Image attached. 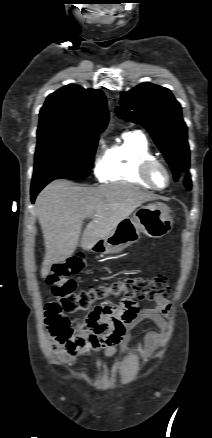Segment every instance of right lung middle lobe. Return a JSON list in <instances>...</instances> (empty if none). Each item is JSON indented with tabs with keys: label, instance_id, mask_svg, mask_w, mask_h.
Returning a JSON list of instances; mask_svg holds the SVG:
<instances>
[{
	"label": "right lung middle lobe",
	"instance_id": "right-lung-middle-lobe-1",
	"mask_svg": "<svg viewBox=\"0 0 212 438\" xmlns=\"http://www.w3.org/2000/svg\"><path fill=\"white\" fill-rule=\"evenodd\" d=\"M32 181L81 179L89 175L98 134H76L49 130L37 133Z\"/></svg>",
	"mask_w": 212,
	"mask_h": 438
}]
</instances>
